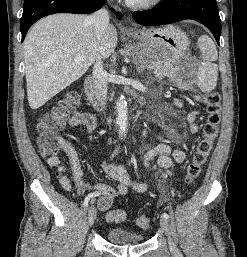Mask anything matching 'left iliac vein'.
Returning a JSON list of instances; mask_svg holds the SVG:
<instances>
[{
	"instance_id": "1",
	"label": "left iliac vein",
	"mask_w": 247,
	"mask_h": 257,
	"mask_svg": "<svg viewBox=\"0 0 247 257\" xmlns=\"http://www.w3.org/2000/svg\"><path fill=\"white\" fill-rule=\"evenodd\" d=\"M160 226L163 232L167 235L168 240H169V248L172 254L177 255L179 253L176 245L174 244L171 236H170V229H169V224L168 221L165 218L160 219Z\"/></svg>"
}]
</instances>
